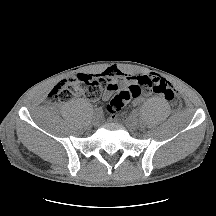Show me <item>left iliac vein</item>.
Listing matches in <instances>:
<instances>
[{
  "label": "left iliac vein",
  "instance_id": "4c4485c4",
  "mask_svg": "<svg viewBox=\"0 0 216 216\" xmlns=\"http://www.w3.org/2000/svg\"><path fill=\"white\" fill-rule=\"evenodd\" d=\"M125 124L130 131H135L139 126V121L133 114L126 119Z\"/></svg>",
  "mask_w": 216,
  "mask_h": 216
}]
</instances>
